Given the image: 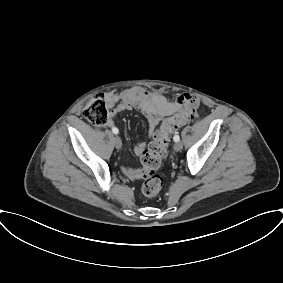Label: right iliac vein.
<instances>
[{
  "instance_id": "1",
  "label": "right iliac vein",
  "mask_w": 283,
  "mask_h": 283,
  "mask_svg": "<svg viewBox=\"0 0 283 283\" xmlns=\"http://www.w3.org/2000/svg\"><path fill=\"white\" fill-rule=\"evenodd\" d=\"M113 142H114V145H115V147H116L117 149H120V148H121V146H122V141H121L120 137L115 136V137L113 138Z\"/></svg>"
}]
</instances>
